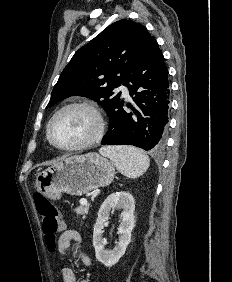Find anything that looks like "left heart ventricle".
Instances as JSON below:
<instances>
[{"instance_id":"obj_1","label":"left heart ventricle","mask_w":232,"mask_h":282,"mask_svg":"<svg viewBox=\"0 0 232 282\" xmlns=\"http://www.w3.org/2000/svg\"><path fill=\"white\" fill-rule=\"evenodd\" d=\"M97 129L95 116L88 110L72 108L60 114L52 125V137L62 146L79 144L91 138Z\"/></svg>"}]
</instances>
